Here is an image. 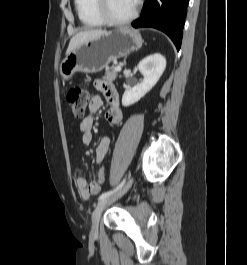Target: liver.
I'll list each match as a JSON object with an SVG mask.
<instances>
[{"label":"liver","mask_w":247,"mask_h":265,"mask_svg":"<svg viewBox=\"0 0 247 265\" xmlns=\"http://www.w3.org/2000/svg\"><path fill=\"white\" fill-rule=\"evenodd\" d=\"M106 31L97 29V30H90V31H84L76 34L73 36L70 40L69 46L66 51V55H68L71 51H73L77 46L80 44L89 41L91 39H95L99 37L100 35L104 34Z\"/></svg>","instance_id":"liver-1"}]
</instances>
